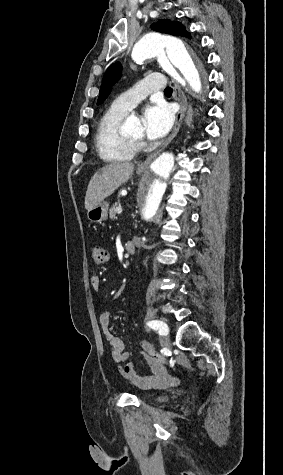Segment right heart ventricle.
<instances>
[{
  "label": "right heart ventricle",
  "instance_id": "obj_1",
  "mask_svg": "<svg viewBox=\"0 0 283 475\" xmlns=\"http://www.w3.org/2000/svg\"><path fill=\"white\" fill-rule=\"evenodd\" d=\"M127 112L111 105L98 120L95 144L102 158L108 163L129 161L136 155L137 151L128 147V141L121 130V122ZM119 145L122 146L121 149L118 148Z\"/></svg>",
  "mask_w": 283,
  "mask_h": 475
}]
</instances>
